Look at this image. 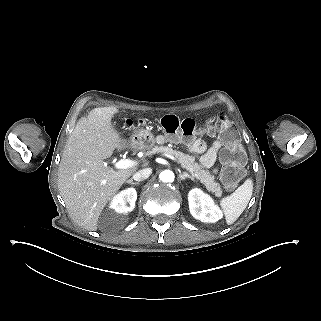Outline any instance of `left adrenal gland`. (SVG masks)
<instances>
[{
	"label": "left adrenal gland",
	"instance_id": "left-adrenal-gland-1",
	"mask_svg": "<svg viewBox=\"0 0 321 321\" xmlns=\"http://www.w3.org/2000/svg\"><path fill=\"white\" fill-rule=\"evenodd\" d=\"M180 180H185L186 178H190L191 180L194 181V177L189 175L187 172H183L179 174Z\"/></svg>",
	"mask_w": 321,
	"mask_h": 321
}]
</instances>
